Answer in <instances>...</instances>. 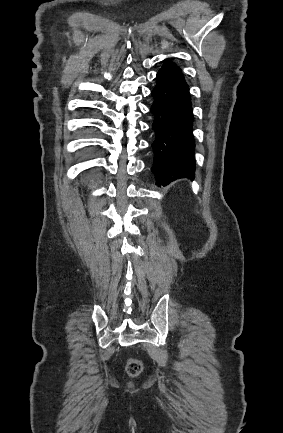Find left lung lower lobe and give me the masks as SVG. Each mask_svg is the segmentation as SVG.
Masks as SVG:
<instances>
[{
  "mask_svg": "<svg viewBox=\"0 0 283 433\" xmlns=\"http://www.w3.org/2000/svg\"><path fill=\"white\" fill-rule=\"evenodd\" d=\"M154 115L152 143L154 161L151 168L156 184L166 185L180 178L195 177L192 157V107L189 87L180 69L165 61L157 73V85L152 91Z\"/></svg>",
  "mask_w": 283,
  "mask_h": 433,
  "instance_id": "obj_1",
  "label": "left lung lower lobe"
}]
</instances>
